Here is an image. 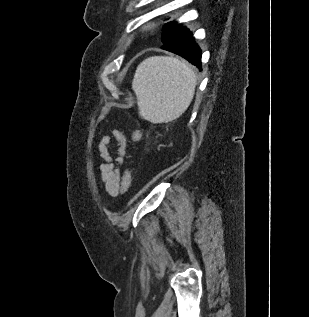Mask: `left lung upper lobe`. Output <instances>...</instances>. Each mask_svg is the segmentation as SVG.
Instances as JSON below:
<instances>
[{
	"instance_id": "obj_1",
	"label": "left lung upper lobe",
	"mask_w": 309,
	"mask_h": 317,
	"mask_svg": "<svg viewBox=\"0 0 309 317\" xmlns=\"http://www.w3.org/2000/svg\"><path fill=\"white\" fill-rule=\"evenodd\" d=\"M186 27H183L177 22H169L164 25L161 41L163 44L169 42L179 35Z\"/></svg>"
}]
</instances>
